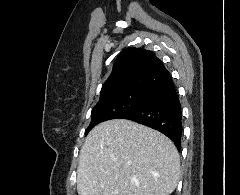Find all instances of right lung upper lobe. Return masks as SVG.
I'll use <instances>...</instances> for the list:
<instances>
[{
    "label": "right lung upper lobe",
    "mask_w": 240,
    "mask_h": 195,
    "mask_svg": "<svg viewBox=\"0 0 240 195\" xmlns=\"http://www.w3.org/2000/svg\"><path fill=\"white\" fill-rule=\"evenodd\" d=\"M169 78L168 70L151 51L126 48L116 58L112 73L101 89V97L127 91L147 93Z\"/></svg>",
    "instance_id": "obj_1"
}]
</instances>
